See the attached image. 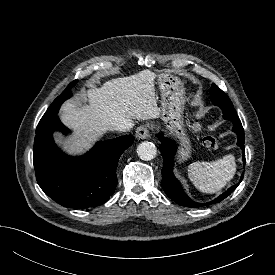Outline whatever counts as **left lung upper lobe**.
I'll return each instance as SVG.
<instances>
[{
    "instance_id": "left-lung-upper-lobe-1",
    "label": "left lung upper lobe",
    "mask_w": 275,
    "mask_h": 275,
    "mask_svg": "<svg viewBox=\"0 0 275 275\" xmlns=\"http://www.w3.org/2000/svg\"><path fill=\"white\" fill-rule=\"evenodd\" d=\"M210 98H211V101L217 106L226 104L228 107H233L232 102L230 101L229 97L214 83L211 86ZM223 115H224L223 116L224 119H226L227 112H223ZM233 116L238 117L236 112Z\"/></svg>"
}]
</instances>
